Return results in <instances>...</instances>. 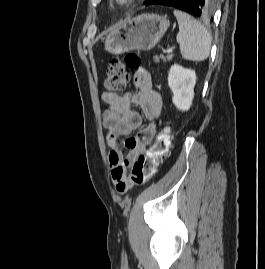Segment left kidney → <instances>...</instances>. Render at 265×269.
<instances>
[{"label":"left kidney","instance_id":"obj_1","mask_svg":"<svg viewBox=\"0 0 265 269\" xmlns=\"http://www.w3.org/2000/svg\"><path fill=\"white\" fill-rule=\"evenodd\" d=\"M196 73L174 64L168 74V85L173 92L172 101L177 109L187 111L192 105Z\"/></svg>","mask_w":265,"mask_h":269}]
</instances>
